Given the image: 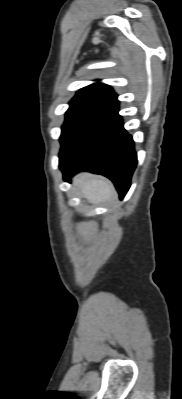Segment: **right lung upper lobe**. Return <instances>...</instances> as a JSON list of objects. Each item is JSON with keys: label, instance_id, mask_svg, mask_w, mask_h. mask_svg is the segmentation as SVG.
Returning <instances> with one entry per match:
<instances>
[{"label": "right lung upper lobe", "instance_id": "cb5924a9", "mask_svg": "<svg viewBox=\"0 0 182 399\" xmlns=\"http://www.w3.org/2000/svg\"><path fill=\"white\" fill-rule=\"evenodd\" d=\"M75 97H85L97 101H101L108 105L117 100V95L112 88L103 83H95L80 89Z\"/></svg>", "mask_w": 182, "mask_h": 399}]
</instances>
